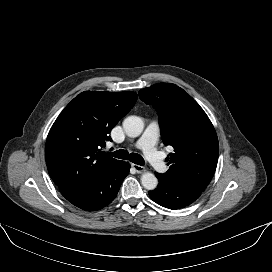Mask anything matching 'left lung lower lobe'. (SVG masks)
<instances>
[{"label":"left lung lower lobe","instance_id":"obj_1","mask_svg":"<svg viewBox=\"0 0 272 272\" xmlns=\"http://www.w3.org/2000/svg\"><path fill=\"white\" fill-rule=\"evenodd\" d=\"M158 187L149 191V196L157 204L175 210L186 207L199 198L204 188L175 178L156 173Z\"/></svg>","mask_w":272,"mask_h":272}]
</instances>
